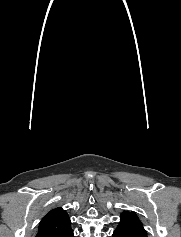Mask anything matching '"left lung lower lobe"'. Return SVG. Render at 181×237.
<instances>
[{
	"instance_id": "0a47b994",
	"label": "left lung lower lobe",
	"mask_w": 181,
	"mask_h": 237,
	"mask_svg": "<svg viewBox=\"0 0 181 237\" xmlns=\"http://www.w3.org/2000/svg\"><path fill=\"white\" fill-rule=\"evenodd\" d=\"M112 237H147V233L136 230H115Z\"/></svg>"
}]
</instances>
